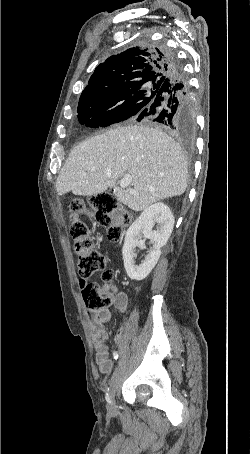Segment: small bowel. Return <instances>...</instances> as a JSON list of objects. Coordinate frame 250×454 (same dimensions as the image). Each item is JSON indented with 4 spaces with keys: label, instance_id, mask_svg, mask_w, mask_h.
<instances>
[{
    "label": "small bowel",
    "instance_id": "small-bowel-1",
    "mask_svg": "<svg viewBox=\"0 0 250 454\" xmlns=\"http://www.w3.org/2000/svg\"><path fill=\"white\" fill-rule=\"evenodd\" d=\"M86 282L84 280H80V286L82 288L85 287ZM102 292L110 291L113 297V304L116 309L121 312H125L129 306V297L128 295L118 290L115 286H104ZM110 320V313L107 310L91 312L90 313V328L92 331V337L94 342L95 348V361L98 366V369L101 373L108 374L111 372L113 368V362L109 358V350L106 344V340L108 338V333L105 328V323ZM125 331V327H121L118 330V333L115 337L116 343L120 344L123 338V334Z\"/></svg>",
    "mask_w": 250,
    "mask_h": 454
}]
</instances>
